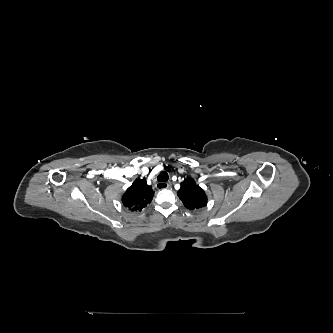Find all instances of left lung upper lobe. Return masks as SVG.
Returning <instances> with one entry per match:
<instances>
[{
	"mask_svg": "<svg viewBox=\"0 0 333 333\" xmlns=\"http://www.w3.org/2000/svg\"><path fill=\"white\" fill-rule=\"evenodd\" d=\"M178 197L183 202L184 206L190 210L200 209L207 204L205 192L195 184L192 178L181 183Z\"/></svg>",
	"mask_w": 333,
	"mask_h": 333,
	"instance_id": "1",
	"label": "left lung upper lobe"
}]
</instances>
